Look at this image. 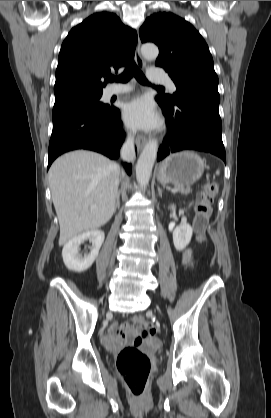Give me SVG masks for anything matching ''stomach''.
<instances>
[{
	"instance_id": "stomach-1",
	"label": "stomach",
	"mask_w": 271,
	"mask_h": 418,
	"mask_svg": "<svg viewBox=\"0 0 271 418\" xmlns=\"http://www.w3.org/2000/svg\"><path fill=\"white\" fill-rule=\"evenodd\" d=\"M205 164L195 152L183 151L168 156L159 166L157 179L160 183L188 186L198 181Z\"/></svg>"
}]
</instances>
